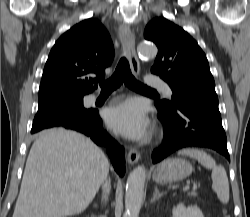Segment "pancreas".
<instances>
[{
    "instance_id": "1",
    "label": "pancreas",
    "mask_w": 250,
    "mask_h": 217,
    "mask_svg": "<svg viewBox=\"0 0 250 217\" xmlns=\"http://www.w3.org/2000/svg\"><path fill=\"white\" fill-rule=\"evenodd\" d=\"M188 195L195 197V196H197V193L195 191H192V192H189Z\"/></svg>"
}]
</instances>
